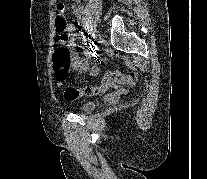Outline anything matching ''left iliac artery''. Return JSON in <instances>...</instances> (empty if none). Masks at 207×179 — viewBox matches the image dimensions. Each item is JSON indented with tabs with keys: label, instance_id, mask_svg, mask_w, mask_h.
<instances>
[{
	"label": "left iliac artery",
	"instance_id": "left-iliac-artery-1",
	"mask_svg": "<svg viewBox=\"0 0 207 179\" xmlns=\"http://www.w3.org/2000/svg\"><path fill=\"white\" fill-rule=\"evenodd\" d=\"M99 40H100V37L98 35H95L92 39V45H93L94 51L98 50Z\"/></svg>",
	"mask_w": 207,
	"mask_h": 179
}]
</instances>
